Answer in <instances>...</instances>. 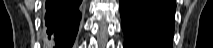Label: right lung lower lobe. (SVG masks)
<instances>
[{"instance_id": "1", "label": "right lung lower lobe", "mask_w": 213, "mask_h": 48, "mask_svg": "<svg viewBox=\"0 0 213 48\" xmlns=\"http://www.w3.org/2000/svg\"><path fill=\"white\" fill-rule=\"evenodd\" d=\"M82 0H46L48 38L55 48H70L74 42L81 18Z\"/></svg>"}]
</instances>
